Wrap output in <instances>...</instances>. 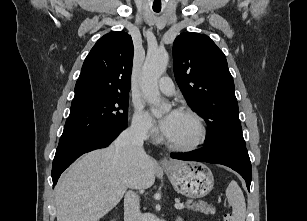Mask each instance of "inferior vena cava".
I'll return each instance as SVG.
<instances>
[{
	"label": "inferior vena cava",
	"instance_id": "obj_1",
	"mask_svg": "<svg viewBox=\"0 0 307 221\" xmlns=\"http://www.w3.org/2000/svg\"><path fill=\"white\" fill-rule=\"evenodd\" d=\"M147 137L146 128L142 125H132L124 130L115 141L118 148H122L129 156L136 160H145L147 155L143 148ZM124 221H141L140 201L138 195L129 190L124 198Z\"/></svg>",
	"mask_w": 307,
	"mask_h": 221
}]
</instances>
